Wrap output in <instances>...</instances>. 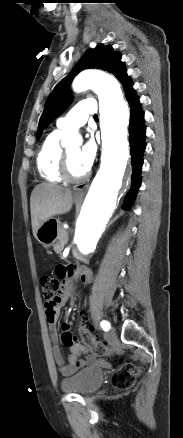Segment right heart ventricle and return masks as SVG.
Returning <instances> with one entry per match:
<instances>
[{"label": "right heart ventricle", "instance_id": "right-heart-ventricle-1", "mask_svg": "<svg viewBox=\"0 0 183 438\" xmlns=\"http://www.w3.org/2000/svg\"><path fill=\"white\" fill-rule=\"evenodd\" d=\"M62 131L55 130L43 141L37 154V168L41 177L51 183H61L59 166L62 154L60 139Z\"/></svg>", "mask_w": 183, "mask_h": 438}]
</instances>
